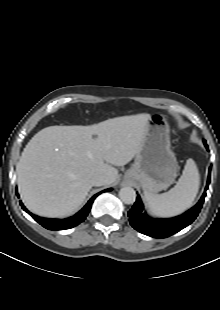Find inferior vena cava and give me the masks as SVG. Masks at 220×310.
<instances>
[{
  "label": "inferior vena cava",
  "mask_w": 220,
  "mask_h": 310,
  "mask_svg": "<svg viewBox=\"0 0 220 310\" xmlns=\"http://www.w3.org/2000/svg\"><path fill=\"white\" fill-rule=\"evenodd\" d=\"M91 183L93 186H102V185H105L107 183V178L104 175H95L91 179Z\"/></svg>",
  "instance_id": "inferior-vena-cava-1"
}]
</instances>
